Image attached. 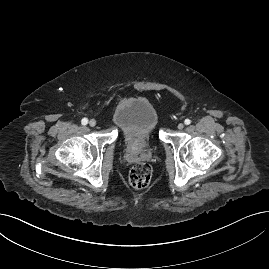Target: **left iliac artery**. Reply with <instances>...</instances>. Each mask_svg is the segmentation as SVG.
Wrapping results in <instances>:
<instances>
[{
    "mask_svg": "<svg viewBox=\"0 0 269 269\" xmlns=\"http://www.w3.org/2000/svg\"><path fill=\"white\" fill-rule=\"evenodd\" d=\"M184 123H185L186 125H189V124L191 123V120H190V119H185Z\"/></svg>",
    "mask_w": 269,
    "mask_h": 269,
    "instance_id": "left-iliac-artery-1",
    "label": "left iliac artery"
}]
</instances>
